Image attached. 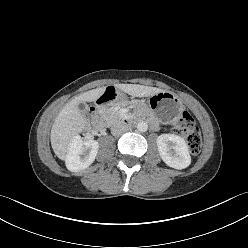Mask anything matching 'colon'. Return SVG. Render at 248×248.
<instances>
[{
  "label": "colon",
  "instance_id": "colon-1",
  "mask_svg": "<svg viewBox=\"0 0 248 248\" xmlns=\"http://www.w3.org/2000/svg\"><path fill=\"white\" fill-rule=\"evenodd\" d=\"M173 130L186 138L189 152L196 156L202 147L201 135L195 126V121L191 114L184 111L174 122Z\"/></svg>",
  "mask_w": 248,
  "mask_h": 248
}]
</instances>
